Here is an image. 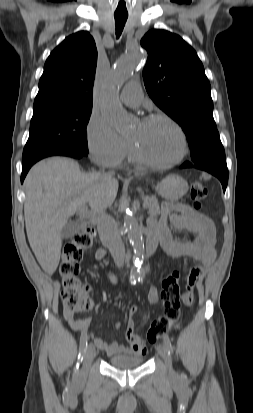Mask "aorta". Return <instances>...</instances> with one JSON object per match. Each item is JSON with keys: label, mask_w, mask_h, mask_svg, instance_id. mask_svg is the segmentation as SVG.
I'll return each instance as SVG.
<instances>
[{"label": "aorta", "mask_w": 253, "mask_h": 413, "mask_svg": "<svg viewBox=\"0 0 253 413\" xmlns=\"http://www.w3.org/2000/svg\"><path fill=\"white\" fill-rule=\"evenodd\" d=\"M142 58L143 51L139 47L129 50L123 58L118 59L114 63L102 85V112L119 132L130 130L132 128V120L119 102L118 95L122 86L131 77ZM123 228L133 248L134 268L130 275V281L136 282L143 277L141 265L144 253V239L141 226L127 210L124 216Z\"/></svg>", "instance_id": "762f6f07"}]
</instances>
